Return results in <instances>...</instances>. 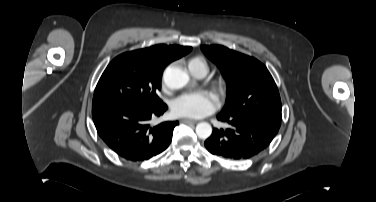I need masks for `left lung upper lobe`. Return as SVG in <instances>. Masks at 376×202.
I'll use <instances>...</instances> for the list:
<instances>
[{
  "mask_svg": "<svg viewBox=\"0 0 376 202\" xmlns=\"http://www.w3.org/2000/svg\"><path fill=\"white\" fill-rule=\"evenodd\" d=\"M201 50L218 66L227 82V102L221 113L257 114L281 121L277 86L261 62L220 45H203Z\"/></svg>",
  "mask_w": 376,
  "mask_h": 202,
  "instance_id": "1",
  "label": "left lung upper lobe"
}]
</instances>
